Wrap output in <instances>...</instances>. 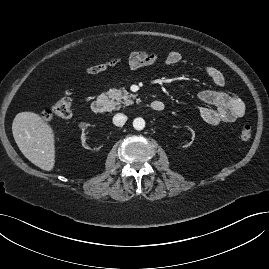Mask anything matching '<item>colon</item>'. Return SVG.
<instances>
[{"label":"colon","instance_id":"colon-1","mask_svg":"<svg viewBox=\"0 0 269 269\" xmlns=\"http://www.w3.org/2000/svg\"><path fill=\"white\" fill-rule=\"evenodd\" d=\"M73 110V98L69 91L63 93L58 98L52 107L43 114L44 121H50L53 118H68L71 116ZM252 135V127L249 124H243L239 131V140L241 142H247Z\"/></svg>","mask_w":269,"mask_h":269}]
</instances>
